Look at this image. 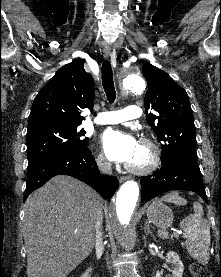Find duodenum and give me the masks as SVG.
<instances>
[{"label": "duodenum", "mask_w": 221, "mask_h": 277, "mask_svg": "<svg viewBox=\"0 0 221 277\" xmlns=\"http://www.w3.org/2000/svg\"><path fill=\"white\" fill-rule=\"evenodd\" d=\"M93 268H94L93 264L90 265V266L84 271V273L82 274L81 277H92Z\"/></svg>", "instance_id": "duodenum-1"}]
</instances>
